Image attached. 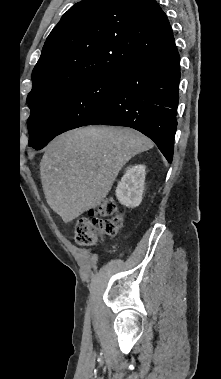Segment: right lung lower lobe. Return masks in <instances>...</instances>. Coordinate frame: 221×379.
I'll use <instances>...</instances> for the list:
<instances>
[{
	"instance_id": "98d812e1",
	"label": "right lung lower lobe",
	"mask_w": 221,
	"mask_h": 379,
	"mask_svg": "<svg viewBox=\"0 0 221 379\" xmlns=\"http://www.w3.org/2000/svg\"><path fill=\"white\" fill-rule=\"evenodd\" d=\"M179 81L180 57L173 42L123 68L110 103L88 125L134 128L151 138L171 163Z\"/></svg>"
}]
</instances>
